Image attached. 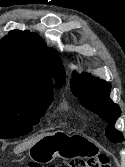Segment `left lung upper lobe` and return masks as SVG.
<instances>
[{
    "mask_svg": "<svg viewBox=\"0 0 125 167\" xmlns=\"http://www.w3.org/2000/svg\"><path fill=\"white\" fill-rule=\"evenodd\" d=\"M71 79V90L81 104L108 122L105 134L111 142H122L123 134L114 128L121 110L109 97L110 85L88 74L75 75Z\"/></svg>",
    "mask_w": 125,
    "mask_h": 167,
    "instance_id": "1",
    "label": "left lung upper lobe"
}]
</instances>
